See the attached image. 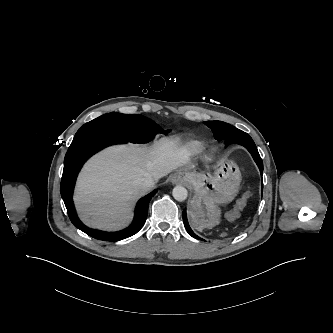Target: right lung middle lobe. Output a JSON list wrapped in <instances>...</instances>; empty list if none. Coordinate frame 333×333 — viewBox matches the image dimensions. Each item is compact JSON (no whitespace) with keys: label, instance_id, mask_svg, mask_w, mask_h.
<instances>
[{"label":"right lung middle lobe","instance_id":"1","mask_svg":"<svg viewBox=\"0 0 333 333\" xmlns=\"http://www.w3.org/2000/svg\"><path fill=\"white\" fill-rule=\"evenodd\" d=\"M91 131H102L132 143H147L157 133H168L155 122L139 114H121L112 112L104 114L86 124L76 133L75 137Z\"/></svg>","mask_w":333,"mask_h":333}]
</instances>
